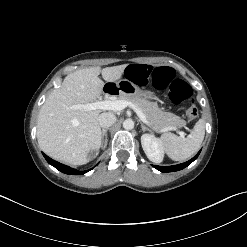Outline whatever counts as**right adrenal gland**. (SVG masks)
Masks as SVG:
<instances>
[{"instance_id":"obj_1","label":"right adrenal gland","mask_w":247,"mask_h":247,"mask_svg":"<svg viewBox=\"0 0 247 247\" xmlns=\"http://www.w3.org/2000/svg\"><path fill=\"white\" fill-rule=\"evenodd\" d=\"M107 131H108V128L102 130V140H103V143H104V148L106 147L107 141H108V139H107Z\"/></svg>"}]
</instances>
